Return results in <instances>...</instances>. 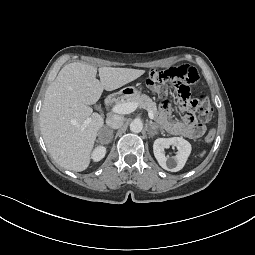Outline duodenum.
Returning <instances> with one entry per match:
<instances>
[{"label": "duodenum", "instance_id": "410a0bca", "mask_svg": "<svg viewBox=\"0 0 255 255\" xmlns=\"http://www.w3.org/2000/svg\"><path fill=\"white\" fill-rule=\"evenodd\" d=\"M123 97H124V93L123 92H117L115 94L110 95L106 99L105 104H106L107 107H110L112 104L116 103L117 101H119Z\"/></svg>", "mask_w": 255, "mask_h": 255}]
</instances>
